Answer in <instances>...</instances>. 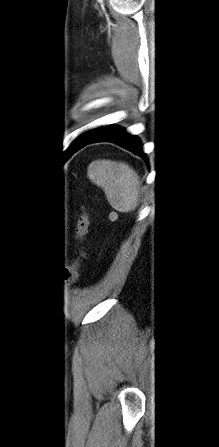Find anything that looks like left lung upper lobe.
Returning a JSON list of instances; mask_svg holds the SVG:
<instances>
[{"instance_id": "5c2ea615", "label": "left lung upper lobe", "mask_w": 219, "mask_h": 447, "mask_svg": "<svg viewBox=\"0 0 219 447\" xmlns=\"http://www.w3.org/2000/svg\"><path fill=\"white\" fill-rule=\"evenodd\" d=\"M97 129H98V128H97ZM97 129H94V130H91V131H88V132L82 134L79 138H77V139L71 144V146H73V145H75V144H78V143H80L81 141L85 140V139L88 138L90 135H92ZM71 146H70V147H71Z\"/></svg>"}]
</instances>
